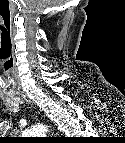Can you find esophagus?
I'll use <instances>...</instances> for the list:
<instances>
[{
	"label": "esophagus",
	"instance_id": "obj_1",
	"mask_svg": "<svg viewBox=\"0 0 125 143\" xmlns=\"http://www.w3.org/2000/svg\"><path fill=\"white\" fill-rule=\"evenodd\" d=\"M22 99L25 101V102H27L28 104H31V106H33V103H32V101L26 96V95H22Z\"/></svg>",
	"mask_w": 125,
	"mask_h": 143
}]
</instances>
